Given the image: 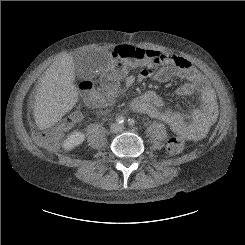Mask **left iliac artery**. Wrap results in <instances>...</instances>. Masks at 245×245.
Listing matches in <instances>:
<instances>
[{
  "label": "left iliac artery",
  "mask_w": 245,
  "mask_h": 245,
  "mask_svg": "<svg viewBox=\"0 0 245 245\" xmlns=\"http://www.w3.org/2000/svg\"><path fill=\"white\" fill-rule=\"evenodd\" d=\"M135 123H136L135 119H133V118H129V119H128V124H129L130 126H134Z\"/></svg>",
  "instance_id": "left-iliac-artery-1"
}]
</instances>
